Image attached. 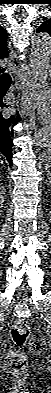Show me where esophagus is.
<instances>
[{"label":"esophagus","instance_id":"1","mask_svg":"<svg viewBox=\"0 0 51 393\" xmlns=\"http://www.w3.org/2000/svg\"><path fill=\"white\" fill-rule=\"evenodd\" d=\"M20 70L21 80L24 87V104L25 106H28L30 105V103H28L29 95L38 87V85L36 84L32 75V71L27 64H21ZM37 114L40 123L49 124L51 122V113L46 103L39 106Z\"/></svg>","mask_w":51,"mask_h":393}]
</instances>
